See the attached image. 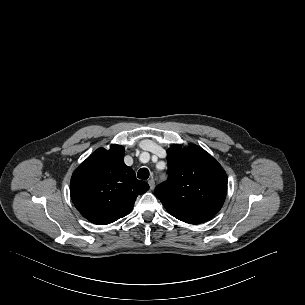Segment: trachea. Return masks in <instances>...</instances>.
I'll return each mask as SVG.
<instances>
[{
    "instance_id": "trachea-1",
    "label": "trachea",
    "mask_w": 305,
    "mask_h": 305,
    "mask_svg": "<svg viewBox=\"0 0 305 305\" xmlns=\"http://www.w3.org/2000/svg\"><path fill=\"white\" fill-rule=\"evenodd\" d=\"M137 177L142 180H146L149 178V170L147 168H141L138 173Z\"/></svg>"
}]
</instances>
